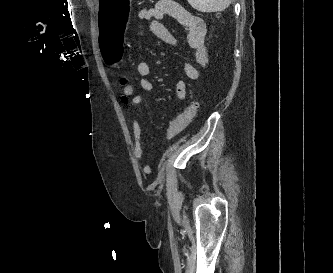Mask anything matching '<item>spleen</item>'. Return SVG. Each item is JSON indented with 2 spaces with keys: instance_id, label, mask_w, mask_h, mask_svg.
Wrapping results in <instances>:
<instances>
[{
  "instance_id": "3e777b00",
  "label": "spleen",
  "mask_w": 333,
  "mask_h": 273,
  "mask_svg": "<svg viewBox=\"0 0 333 273\" xmlns=\"http://www.w3.org/2000/svg\"><path fill=\"white\" fill-rule=\"evenodd\" d=\"M232 0H188L189 4L201 12H218L229 7Z\"/></svg>"
}]
</instances>
